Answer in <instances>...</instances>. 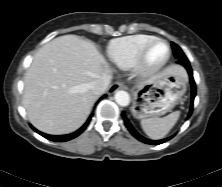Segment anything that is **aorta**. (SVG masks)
I'll return each instance as SVG.
<instances>
[{"instance_id":"obj_1","label":"aorta","mask_w":222,"mask_h":187,"mask_svg":"<svg viewBox=\"0 0 222 187\" xmlns=\"http://www.w3.org/2000/svg\"><path fill=\"white\" fill-rule=\"evenodd\" d=\"M115 101L120 106H127L130 103V96L126 91L120 90L115 93Z\"/></svg>"}]
</instances>
